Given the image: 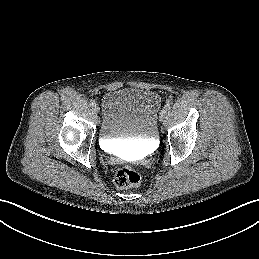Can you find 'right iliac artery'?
Instances as JSON below:
<instances>
[{
  "instance_id": "right-iliac-artery-1",
  "label": "right iliac artery",
  "mask_w": 259,
  "mask_h": 259,
  "mask_svg": "<svg viewBox=\"0 0 259 259\" xmlns=\"http://www.w3.org/2000/svg\"><path fill=\"white\" fill-rule=\"evenodd\" d=\"M95 102L93 100L90 101V106H94Z\"/></svg>"
}]
</instances>
